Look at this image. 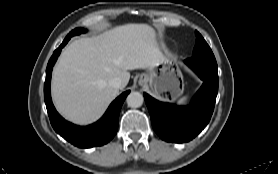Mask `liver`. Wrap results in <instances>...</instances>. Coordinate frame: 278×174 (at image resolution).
I'll use <instances>...</instances> for the list:
<instances>
[{
  "instance_id": "1",
  "label": "liver",
  "mask_w": 278,
  "mask_h": 174,
  "mask_svg": "<svg viewBox=\"0 0 278 174\" xmlns=\"http://www.w3.org/2000/svg\"><path fill=\"white\" fill-rule=\"evenodd\" d=\"M164 60L155 30L147 24H125L78 39L63 50L54 67L55 107L75 124L94 123L119 94L109 85L111 79L120 78L123 89L130 79L128 70H153Z\"/></svg>"
}]
</instances>
